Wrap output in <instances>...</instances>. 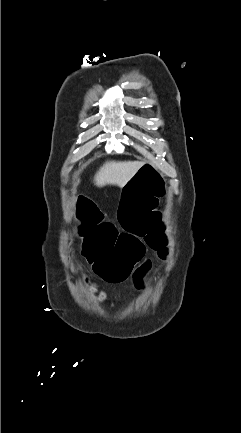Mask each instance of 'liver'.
Here are the masks:
<instances>
[{"mask_svg":"<svg viewBox=\"0 0 241 433\" xmlns=\"http://www.w3.org/2000/svg\"><path fill=\"white\" fill-rule=\"evenodd\" d=\"M144 162L107 161L94 176L97 187L106 185L124 186L138 171Z\"/></svg>","mask_w":241,"mask_h":433,"instance_id":"liver-1","label":"liver"}]
</instances>
